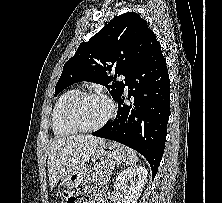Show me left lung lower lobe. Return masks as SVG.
Masks as SVG:
<instances>
[{"instance_id":"0a47b994","label":"left lung lower lobe","mask_w":222,"mask_h":203,"mask_svg":"<svg viewBox=\"0 0 222 203\" xmlns=\"http://www.w3.org/2000/svg\"><path fill=\"white\" fill-rule=\"evenodd\" d=\"M125 85L129 88L128 100L132 97L130 104H124L122 92L116 99L118 112L114 121L92 134L117 141L141 153L148 160L154 177L165 148L170 84L166 60L153 31Z\"/></svg>"}]
</instances>
